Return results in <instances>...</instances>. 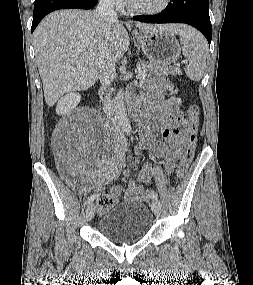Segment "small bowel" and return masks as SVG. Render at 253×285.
I'll use <instances>...</instances> for the list:
<instances>
[{"mask_svg": "<svg viewBox=\"0 0 253 285\" xmlns=\"http://www.w3.org/2000/svg\"><path fill=\"white\" fill-rule=\"evenodd\" d=\"M173 91V85L162 77H154L143 87V98L132 90L131 96L136 97L142 104V115L139 122L140 143L135 147L136 155L143 149H149L159 159L158 165L145 163L140 171L137 181L128 180L124 198L127 201H144L145 191L142 183H150L160 170L171 172L182 154L187 141L188 121L184 119L180 109V98L168 95ZM153 132H157L163 141L155 138ZM59 155L67 153L66 144L59 146ZM137 164V159L133 165ZM128 178L130 169L122 172ZM122 192L120 185L110 188L109 193L117 199Z\"/></svg>", "mask_w": 253, "mask_h": 285, "instance_id": "1", "label": "small bowel"}]
</instances>
